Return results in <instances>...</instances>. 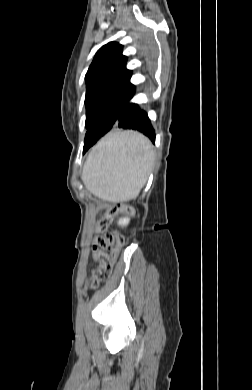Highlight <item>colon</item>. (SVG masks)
Instances as JSON below:
<instances>
[{"label":"colon","instance_id":"1","mask_svg":"<svg viewBox=\"0 0 252 390\" xmlns=\"http://www.w3.org/2000/svg\"><path fill=\"white\" fill-rule=\"evenodd\" d=\"M118 213L131 216L133 210L122 203L112 205L107 208L98 224L100 235L95 238L93 243V255L97 257L98 261V266L92 273L91 286L94 288L109 278L113 262L124 244V238L118 230L108 231Z\"/></svg>","mask_w":252,"mask_h":390}]
</instances>
